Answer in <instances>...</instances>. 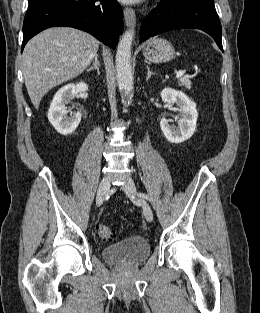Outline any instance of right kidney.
<instances>
[{"mask_svg":"<svg viewBox=\"0 0 260 313\" xmlns=\"http://www.w3.org/2000/svg\"><path fill=\"white\" fill-rule=\"evenodd\" d=\"M87 90V84L81 82L65 85L57 91L48 111V119L58 133L68 135L78 127L81 113L69 111L66 104L79 92ZM68 112H70V117L67 116Z\"/></svg>","mask_w":260,"mask_h":313,"instance_id":"1","label":"right kidney"}]
</instances>
